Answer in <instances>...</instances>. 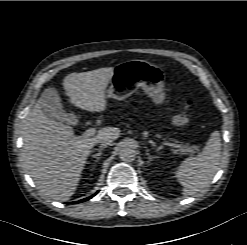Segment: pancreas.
<instances>
[{
    "instance_id": "obj_1",
    "label": "pancreas",
    "mask_w": 247,
    "mask_h": 245,
    "mask_svg": "<svg viewBox=\"0 0 247 245\" xmlns=\"http://www.w3.org/2000/svg\"><path fill=\"white\" fill-rule=\"evenodd\" d=\"M157 136H160V135H157ZM192 150H193L192 147L186 144V145H181L180 152L183 154H186V153L191 152Z\"/></svg>"
}]
</instances>
